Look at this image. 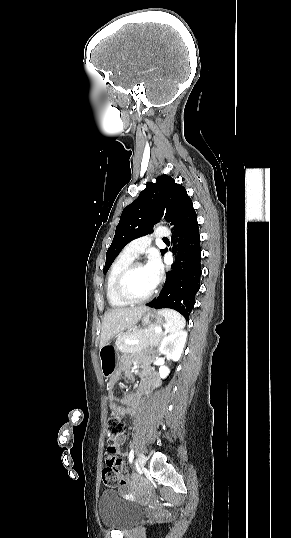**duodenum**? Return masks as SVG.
Returning <instances> with one entry per match:
<instances>
[{
	"instance_id": "1",
	"label": "duodenum",
	"mask_w": 291,
	"mask_h": 538,
	"mask_svg": "<svg viewBox=\"0 0 291 538\" xmlns=\"http://www.w3.org/2000/svg\"><path fill=\"white\" fill-rule=\"evenodd\" d=\"M142 378H144V373H139L138 381H142Z\"/></svg>"
}]
</instances>
